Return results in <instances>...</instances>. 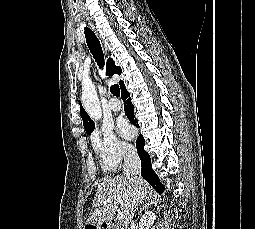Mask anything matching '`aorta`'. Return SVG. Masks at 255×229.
Here are the masks:
<instances>
[{
  "label": "aorta",
  "mask_w": 255,
  "mask_h": 229,
  "mask_svg": "<svg viewBox=\"0 0 255 229\" xmlns=\"http://www.w3.org/2000/svg\"><path fill=\"white\" fill-rule=\"evenodd\" d=\"M82 103L93 120H99L102 116V110L98 95L94 85L91 82H84L82 85Z\"/></svg>",
  "instance_id": "obj_1"
}]
</instances>
